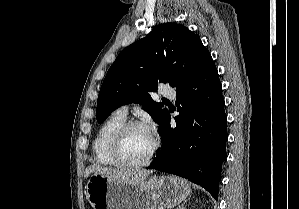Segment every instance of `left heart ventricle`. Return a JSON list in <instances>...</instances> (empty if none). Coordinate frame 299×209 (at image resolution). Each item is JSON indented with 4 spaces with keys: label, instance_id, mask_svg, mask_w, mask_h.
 <instances>
[{
    "label": "left heart ventricle",
    "instance_id": "obj_1",
    "mask_svg": "<svg viewBox=\"0 0 299 209\" xmlns=\"http://www.w3.org/2000/svg\"><path fill=\"white\" fill-rule=\"evenodd\" d=\"M151 148L150 133L142 128H133L123 138L121 156L129 163L140 162L147 157Z\"/></svg>",
    "mask_w": 299,
    "mask_h": 209
}]
</instances>
